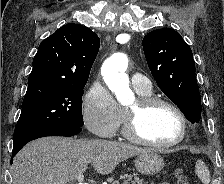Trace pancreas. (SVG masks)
Masks as SVG:
<instances>
[{
    "instance_id": "obj_1",
    "label": "pancreas",
    "mask_w": 224,
    "mask_h": 184,
    "mask_svg": "<svg viewBox=\"0 0 224 184\" xmlns=\"http://www.w3.org/2000/svg\"><path fill=\"white\" fill-rule=\"evenodd\" d=\"M112 184H119V181H114ZM123 184H145L143 179L134 178L132 179V176H129L127 179L124 178Z\"/></svg>"
}]
</instances>
